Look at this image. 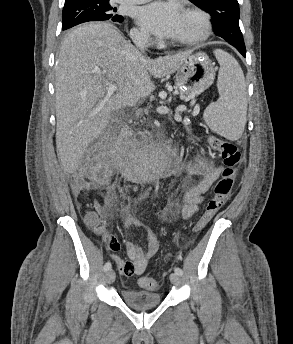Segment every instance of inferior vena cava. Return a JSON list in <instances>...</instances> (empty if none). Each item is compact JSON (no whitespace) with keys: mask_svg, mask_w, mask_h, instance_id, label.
Returning a JSON list of instances; mask_svg holds the SVG:
<instances>
[{"mask_svg":"<svg viewBox=\"0 0 293 344\" xmlns=\"http://www.w3.org/2000/svg\"><path fill=\"white\" fill-rule=\"evenodd\" d=\"M131 39L133 43L136 45L137 48L140 49L141 52L144 53L147 43H148V35L143 32H132ZM132 106L133 103L130 100H126V106Z\"/></svg>","mask_w":293,"mask_h":344,"instance_id":"inferior-vena-cava-1","label":"inferior vena cava"}]
</instances>
